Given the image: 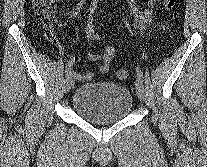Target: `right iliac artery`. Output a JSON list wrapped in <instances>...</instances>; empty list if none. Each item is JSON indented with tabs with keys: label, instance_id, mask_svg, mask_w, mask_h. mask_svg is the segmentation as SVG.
Here are the masks:
<instances>
[{
	"label": "right iliac artery",
	"instance_id": "82829eb1",
	"mask_svg": "<svg viewBox=\"0 0 207 167\" xmlns=\"http://www.w3.org/2000/svg\"><path fill=\"white\" fill-rule=\"evenodd\" d=\"M71 67H72V61H68L65 69L66 75L71 71Z\"/></svg>",
	"mask_w": 207,
	"mask_h": 167
}]
</instances>
